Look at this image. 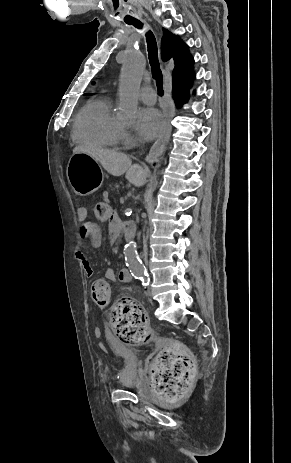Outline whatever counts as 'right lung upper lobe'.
<instances>
[{"label":"right lung upper lobe","mask_w":291,"mask_h":463,"mask_svg":"<svg viewBox=\"0 0 291 463\" xmlns=\"http://www.w3.org/2000/svg\"><path fill=\"white\" fill-rule=\"evenodd\" d=\"M188 46L168 30L163 29L161 42V56L163 61L173 57L175 69L173 71V86L186 84L193 75V57L190 56Z\"/></svg>","instance_id":"cb5924a9"}]
</instances>
